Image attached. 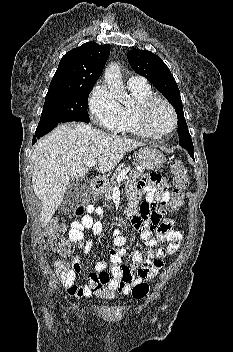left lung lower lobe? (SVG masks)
I'll use <instances>...</instances> for the list:
<instances>
[{"instance_id": "1", "label": "left lung lower lobe", "mask_w": 233, "mask_h": 352, "mask_svg": "<svg viewBox=\"0 0 233 352\" xmlns=\"http://www.w3.org/2000/svg\"><path fill=\"white\" fill-rule=\"evenodd\" d=\"M189 155L194 159V153H193V150H187Z\"/></svg>"}]
</instances>
